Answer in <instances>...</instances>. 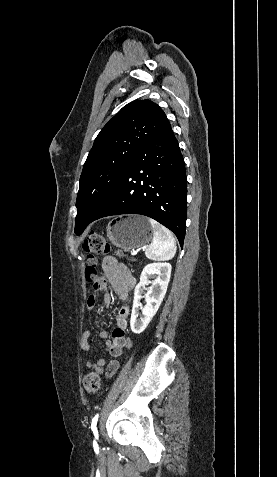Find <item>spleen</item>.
I'll return each mask as SVG.
<instances>
[{"label": "spleen", "mask_w": 277, "mask_h": 477, "mask_svg": "<svg viewBox=\"0 0 277 477\" xmlns=\"http://www.w3.org/2000/svg\"><path fill=\"white\" fill-rule=\"evenodd\" d=\"M153 229L151 244L145 251L148 259L154 261H166L175 256L177 247L172 233L153 219H149Z\"/></svg>", "instance_id": "1"}]
</instances>
